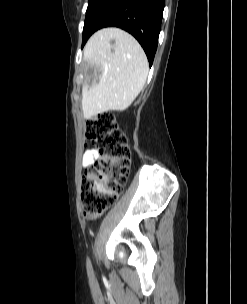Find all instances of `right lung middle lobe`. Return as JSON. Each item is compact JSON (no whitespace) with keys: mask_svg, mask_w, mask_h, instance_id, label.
I'll list each match as a JSON object with an SVG mask.
<instances>
[{"mask_svg":"<svg viewBox=\"0 0 247 304\" xmlns=\"http://www.w3.org/2000/svg\"><path fill=\"white\" fill-rule=\"evenodd\" d=\"M96 2H97V0H89L86 15L91 11V9L93 8V6L95 5Z\"/></svg>","mask_w":247,"mask_h":304,"instance_id":"obj_1","label":"right lung middle lobe"}]
</instances>
